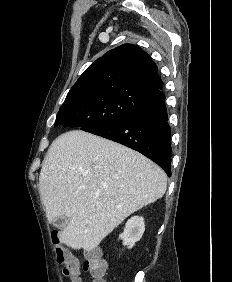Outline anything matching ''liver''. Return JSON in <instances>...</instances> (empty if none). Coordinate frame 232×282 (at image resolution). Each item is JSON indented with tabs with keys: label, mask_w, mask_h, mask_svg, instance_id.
<instances>
[{
	"label": "liver",
	"mask_w": 232,
	"mask_h": 282,
	"mask_svg": "<svg viewBox=\"0 0 232 282\" xmlns=\"http://www.w3.org/2000/svg\"><path fill=\"white\" fill-rule=\"evenodd\" d=\"M164 171L126 146L82 130L58 136L39 176L49 222L67 225L58 239L68 247L95 249L126 217L160 199Z\"/></svg>",
	"instance_id": "6515ba94"
}]
</instances>
